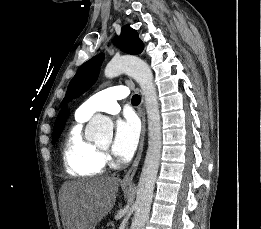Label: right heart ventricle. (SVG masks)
Here are the masks:
<instances>
[{"instance_id":"right-heart-ventricle-1","label":"right heart ventricle","mask_w":261,"mask_h":229,"mask_svg":"<svg viewBox=\"0 0 261 229\" xmlns=\"http://www.w3.org/2000/svg\"><path fill=\"white\" fill-rule=\"evenodd\" d=\"M85 114L79 107L75 111L76 124L67 133L62 156L66 170L78 176H91L103 172V152L95 143L86 139L82 133V124L89 118L79 116Z\"/></svg>"}]
</instances>
